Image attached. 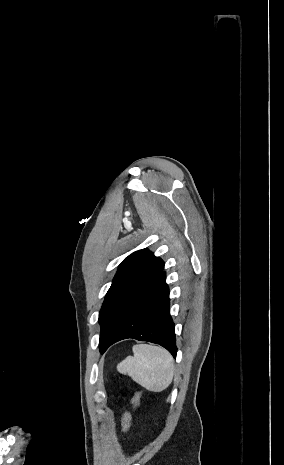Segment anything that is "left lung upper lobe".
Segmentation results:
<instances>
[{"mask_svg":"<svg viewBox=\"0 0 284 465\" xmlns=\"http://www.w3.org/2000/svg\"><path fill=\"white\" fill-rule=\"evenodd\" d=\"M163 268L164 261L155 257L147 249L132 253L119 265L99 312L100 351L103 341L120 311L132 298L153 282L163 271Z\"/></svg>","mask_w":284,"mask_h":465,"instance_id":"1","label":"left lung upper lobe"}]
</instances>
